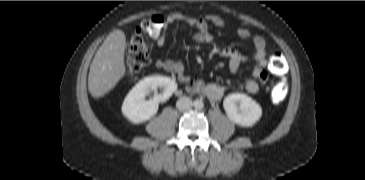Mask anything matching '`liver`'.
<instances>
[{
    "label": "liver",
    "mask_w": 365,
    "mask_h": 180,
    "mask_svg": "<svg viewBox=\"0 0 365 180\" xmlns=\"http://www.w3.org/2000/svg\"><path fill=\"white\" fill-rule=\"evenodd\" d=\"M126 36L115 30L104 40L90 65L88 90L94 98L111 91L126 73L124 55Z\"/></svg>",
    "instance_id": "6515ba94"
}]
</instances>
